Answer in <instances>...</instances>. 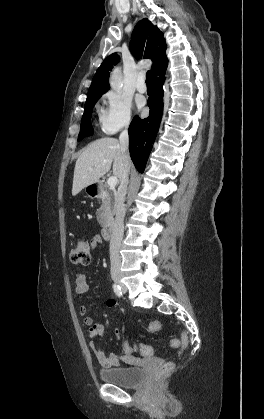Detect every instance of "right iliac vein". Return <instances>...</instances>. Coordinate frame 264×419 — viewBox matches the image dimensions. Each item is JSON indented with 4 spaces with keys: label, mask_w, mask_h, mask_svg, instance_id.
I'll return each mask as SVG.
<instances>
[{
    "label": "right iliac vein",
    "mask_w": 264,
    "mask_h": 419,
    "mask_svg": "<svg viewBox=\"0 0 264 419\" xmlns=\"http://www.w3.org/2000/svg\"><path fill=\"white\" fill-rule=\"evenodd\" d=\"M114 280L118 282L119 281V277L118 276H114Z\"/></svg>",
    "instance_id": "right-iliac-vein-1"
}]
</instances>
